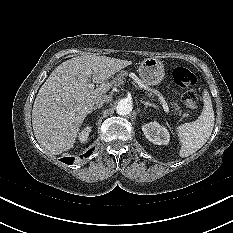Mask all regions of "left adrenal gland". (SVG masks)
<instances>
[{"mask_svg":"<svg viewBox=\"0 0 233 233\" xmlns=\"http://www.w3.org/2000/svg\"><path fill=\"white\" fill-rule=\"evenodd\" d=\"M141 103L144 104L146 108H147L148 106L157 108V106H156L155 104L150 103V102H147V101L141 100Z\"/></svg>","mask_w":233,"mask_h":233,"instance_id":"1","label":"left adrenal gland"}]
</instances>
